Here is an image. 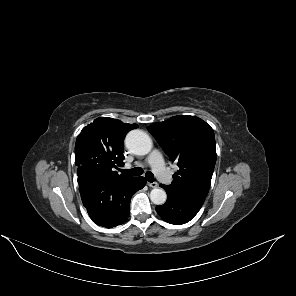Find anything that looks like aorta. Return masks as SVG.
Returning <instances> with one entry per match:
<instances>
[{
  "label": "aorta",
  "mask_w": 296,
  "mask_h": 296,
  "mask_svg": "<svg viewBox=\"0 0 296 296\" xmlns=\"http://www.w3.org/2000/svg\"><path fill=\"white\" fill-rule=\"evenodd\" d=\"M126 147L135 155H146L152 148V140L142 130H132L125 138ZM167 194L162 188H154L150 192V200L155 205H162L166 202Z\"/></svg>",
  "instance_id": "762f6f07"
}]
</instances>
